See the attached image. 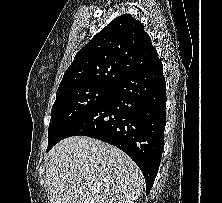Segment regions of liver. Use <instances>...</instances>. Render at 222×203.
Wrapping results in <instances>:
<instances>
[{
    "instance_id": "1",
    "label": "liver",
    "mask_w": 222,
    "mask_h": 203,
    "mask_svg": "<svg viewBox=\"0 0 222 203\" xmlns=\"http://www.w3.org/2000/svg\"><path fill=\"white\" fill-rule=\"evenodd\" d=\"M50 203H127L140 198L143 175L123 151L86 136L57 143L47 155Z\"/></svg>"
}]
</instances>
